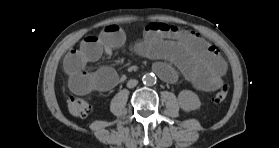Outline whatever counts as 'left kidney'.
<instances>
[{
  "instance_id": "obj_1",
  "label": "left kidney",
  "mask_w": 279,
  "mask_h": 148,
  "mask_svg": "<svg viewBox=\"0 0 279 148\" xmlns=\"http://www.w3.org/2000/svg\"><path fill=\"white\" fill-rule=\"evenodd\" d=\"M179 106L186 112L197 110L201 106L197 94L190 90H182L178 95Z\"/></svg>"
}]
</instances>
